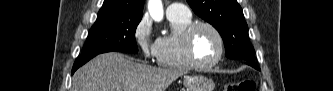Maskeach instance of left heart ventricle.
I'll return each instance as SVG.
<instances>
[{"instance_id":"obj_1","label":"left heart ventricle","mask_w":333,"mask_h":91,"mask_svg":"<svg viewBox=\"0 0 333 91\" xmlns=\"http://www.w3.org/2000/svg\"><path fill=\"white\" fill-rule=\"evenodd\" d=\"M219 53V43L214 33L200 28L194 36V55L201 63L213 61Z\"/></svg>"}]
</instances>
